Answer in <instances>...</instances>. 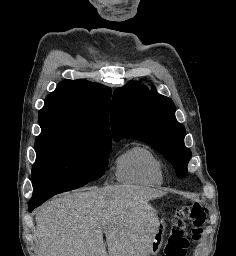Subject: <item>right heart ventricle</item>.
Masks as SVG:
<instances>
[{
    "mask_svg": "<svg viewBox=\"0 0 236 256\" xmlns=\"http://www.w3.org/2000/svg\"><path fill=\"white\" fill-rule=\"evenodd\" d=\"M116 176L124 184L155 187L163 184L165 169L150 149L135 145L118 158Z\"/></svg>",
    "mask_w": 236,
    "mask_h": 256,
    "instance_id": "e07e8e85",
    "label": "right heart ventricle"
}]
</instances>
